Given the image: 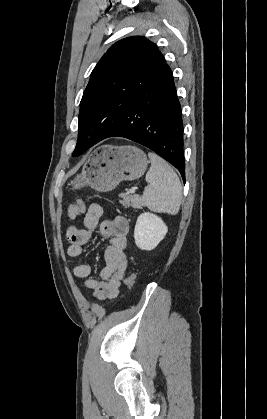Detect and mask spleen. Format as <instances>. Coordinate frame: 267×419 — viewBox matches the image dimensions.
<instances>
[{
	"instance_id": "spleen-1",
	"label": "spleen",
	"mask_w": 267,
	"mask_h": 419,
	"mask_svg": "<svg viewBox=\"0 0 267 419\" xmlns=\"http://www.w3.org/2000/svg\"><path fill=\"white\" fill-rule=\"evenodd\" d=\"M151 167L146 174L147 187L143 192V203L150 210L175 215L182 200L179 177L160 156L149 152Z\"/></svg>"
}]
</instances>
